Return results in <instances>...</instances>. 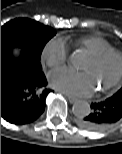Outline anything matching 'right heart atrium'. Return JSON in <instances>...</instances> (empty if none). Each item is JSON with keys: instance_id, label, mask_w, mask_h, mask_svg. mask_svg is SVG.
<instances>
[{"instance_id": "right-heart-atrium-1", "label": "right heart atrium", "mask_w": 122, "mask_h": 154, "mask_svg": "<svg viewBox=\"0 0 122 154\" xmlns=\"http://www.w3.org/2000/svg\"><path fill=\"white\" fill-rule=\"evenodd\" d=\"M68 46L62 38H52L43 48L42 60L52 69L59 68L65 64L68 58Z\"/></svg>"}]
</instances>
